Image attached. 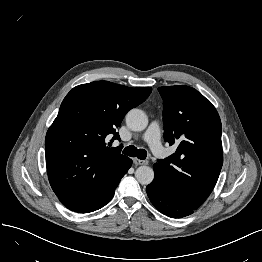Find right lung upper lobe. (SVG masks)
I'll list each match as a JSON object with an SVG mask.
<instances>
[{
    "instance_id": "right-lung-upper-lobe-1",
    "label": "right lung upper lobe",
    "mask_w": 262,
    "mask_h": 262,
    "mask_svg": "<svg viewBox=\"0 0 262 262\" xmlns=\"http://www.w3.org/2000/svg\"><path fill=\"white\" fill-rule=\"evenodd\" d=\"M151 91L95 81L67 94L45 138L48 178L59 199L100 198L116 186L129 158L107 141L120 139L116 128L125 114Z\"/></svg>"
}]
</instances>
